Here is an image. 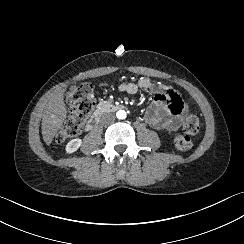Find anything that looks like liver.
Wrapping results in <instances>:
<instances>
[{
  "label": "liver",
  "mask_w": 244,
  "mask_h": 244,
  "mask_svg": "<svg viewBox=\"0 0 244 244\" xmlns=\"http://www.w3.org/2000/svg\"><path fill=\"white\" fill-rule=\"evenodd\" d=\"M66 108L63 101V91L54 94L42 118V135L47 145H50L57 131L61 128L66 118Z\"/></svg>",
  "instance_id": "1"
}]
</instances>
